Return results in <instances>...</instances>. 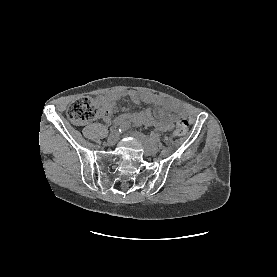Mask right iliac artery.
<instances>
[{"label":"right iliac artery","instance_id":"right-iliac-artery-1","mask_svg":"<svg viewBox=\"0 0 277 277\" xmlns=\"http://www.w3.org/2000/svg\"><path fill=\"white\" fill-rule=\"evenodd\" d=\"M130 127V123L129 122H123L121 124H119V127H118V132H123L125 131L126 129H128ZM112 131H116V129L114 130H111Z\"/></svg>","mask_w":277,"mask_h":277}]
</instances>
